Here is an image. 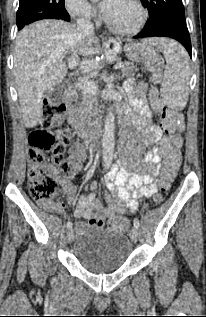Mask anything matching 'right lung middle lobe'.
Masks as SVG:
<instances>
[{
  "mask_svg": "<svg viewBox=\"0 0 206 317\" xmlns=\"http://www.w3.org/2000/svg\"><path fill=\"white\" fill-rule=\"evenodd\" d=\"M68 15L64 0H20L17 11V26L25 25L41 19H63Z\"/></svg>",
  "mask_w": 206,
  "mask_h": 317,
  "instance_id": "right-lung-middle-lobe-1",
  "label": "right lung middle lobe"
}]
</instances>
